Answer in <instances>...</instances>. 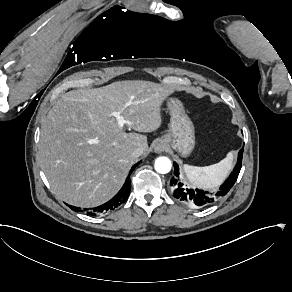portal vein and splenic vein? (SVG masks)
<instances>
[{
	"label": "portal vein and splenic vein",
	"instance_id": "obj_1",
	"mask_svg": "<svg viewBox=\"0 0 292 292\" xmlns=\"http://www.w3.org/2000/svg\"><path fill=\"white\" fill-rule=\"evenodd\" d=\"M113 116L117 118L118 123L121 127L128 123L124 118L121 117V115L118 112H114Z\"/></svg>",
	"mask_w": 292,
	"mask_h": 292
}]
</instances>
